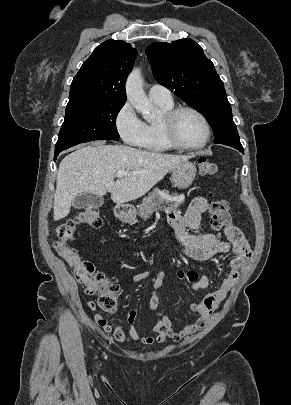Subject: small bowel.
<instances>
[{"mask_svg": "<svg viewBox=\"0 0 291 405\" xmlns=\"http://www.w3.org/2000/svg\"><path fill=\"white\" fill-rule=\"evenodd\" d=\"M209 208L210 204L206 198L197 197L192 201L185 215H180L176 211L169 212L168 221L174 228L178 240L184 246L183 252L185 256L196 261H205L216 254L232 255L233 258L230 262L226 277L215 292L207 295L200 303L190 304V310L197 313L199 315L198 318L193 323L181 329L174 330L172 328L171 319L158 310L159 297L157 290L162 285L164 272L160 271L154 276L148 271L136 274L133 277V282L135 283L149 278L152 280L149 308L152 314L157 318V322L146 334L141 336L136 329L137 312L135 310H129L125 318L129 325L128 334L133 340L145 344L163 342L167 338L179 341L199 331L207 324L211 314L218 308L231 288L238 281L240 268L251 256L248 241L240 229L229 223L223 230L226 241L220 240L218 236L213 233L204 235H193L189 233V230L199 227L203 214H205ZM209 284L210 277L204 275L199 280L193 281V289H205ZM87 306L90 310L95 309V304L92 301L88 302ZM95 320L105 333L111 334L119 342L125 341L126 334L120 325L113 327L100 315H96Z\"/></svg>", "mask_w": 291, "mask_h": 405, "instance_id": "obj_1", "label": "small bowel"}]
</instances>
